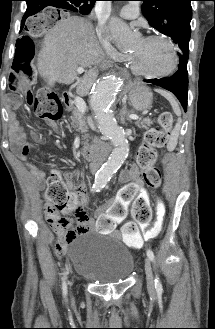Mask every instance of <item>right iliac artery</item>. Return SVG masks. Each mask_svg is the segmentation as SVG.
Returning a JSON list of instances; mask_svg holds the SVG:
<instances>
[{
	"instance_id": "82829eb1",
	"label": "right iliac artery",
	"mask_w": 215,
	"mask_h": 329,
	"mask_svg": "<svg viewBox=\"0 0 215 329\" xmlns=\"http://www.w3.org/2000/svg\"><path fill=\"white\" fill-rule=\"evenodd\" d=\"M65 277H63V283H62V290H63V295L66 296L67 294V284H66V281H65Z\"/></svg>"
}]
</instances>
